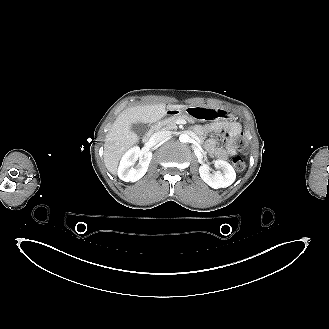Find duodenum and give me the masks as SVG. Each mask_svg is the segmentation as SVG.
<instances>
[{
	"mask_svg": "<svg viewBox=\"0 0 329 329\" xmlns=\"http://www.w3.org/2000/svg\"><path fill=\"white\" fill-rule=\"evenodd\" d=\"M176 114V111H174V110H168L167 111V115L168 116H173V115H175ZM150 138H151V133L150 132H147L146 134H145V136L143 137V141L144 142H148L149 140H150Z\"/></svg>",
	"mask_w": 329,
	"mask_h": 329,
	"instance_id": "410a0bca",
	"label": "duodenum"
}]
</instances>
